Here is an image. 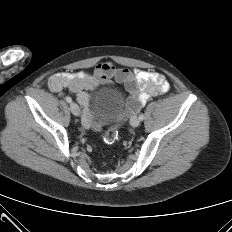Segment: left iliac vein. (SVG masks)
Instances as JSON below:
<instances>
[{
  "label": "left iliac vein",
  "instance_id": "obj_1",
  "mask_svg": "<svg viewBox=\"0 0 232 232\" xmlns=\"http://www.w3.org/2000/svg\"><path fill=\"white\" fill-rule=\"evenodd\" d=\"M130 124L133 126V127H138L139 124H140V120L138 117L136 116H133L130 120Z\"/></svg>",
  "mask_w": 232,
  "mask_h": 232
}]
</instances>
